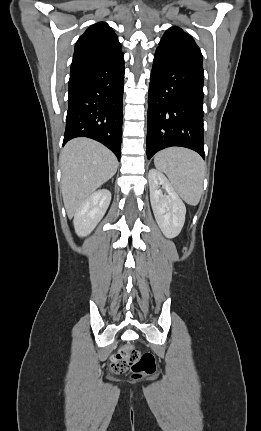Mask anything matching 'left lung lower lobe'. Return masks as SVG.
Segmentation results:
<instances>
[{"instance_id": "0a47b994", "label": "left lung lower lobe", "mask_w": 261, "mask_h": 431, "mask_svg": "<svg viewBox=\"0 0 261 431\" xmlns=\"http://www.w3.org/2000/svg\"><path fill=\"white\" fill-rule=\"evenodd\" d=\"M202 63L157 48L149 85L147 158L171 146L204 154Z\"/></svg>"}]
</instances>
